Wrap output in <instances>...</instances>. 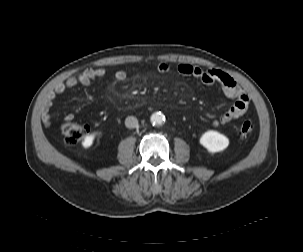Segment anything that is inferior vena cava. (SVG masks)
<instances>
[{"mask_svg": "<svg viewBox=\"0 0 303 252\" xmlns=\"http://www.w3.org/2000/svg\"><path fill=\"white\" fill-rule=\"evenodd\" d=\"M125 125L127 128H136L138 126V120L134 116H128L125 120Z\"/></svg>", "mask_w": 303, "mask_h": 252, "instance_id": "1", "label": "inferior vena cava"}]
</instances>
